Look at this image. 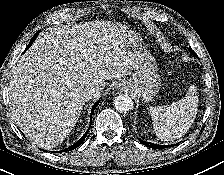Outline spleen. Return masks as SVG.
Segmentation results:
<instances>
[{
	"label": "spleen",
	"instance_id": "3e777b00",
	"mask_svg": "<svg viewBox=\"0 0 224 175\" xmlns=\"http://www.w3.org/2000/svg\"><path fill=\"white\" fill-rule=\"evenodd\" d=\"M198 112L197 87L191 85L184 98L166 106L150 107L156 136L161 141L182 137L190 128Z\"/></svg>",
	"mask_w": 224,
	"mask_h": 175
}]
</instances>
